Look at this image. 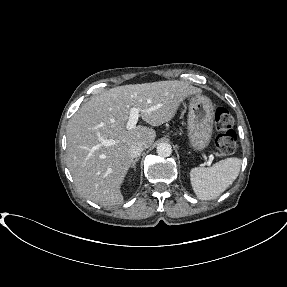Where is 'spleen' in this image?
Returning <instances> with one entry per match:
<instances>
[{
	"mask_svg": "<svg viewBox=\"0 0 287 287\" xmlns=\"http://www.w3.org/2000/svg\"><path fill=\"white\" fill-rule=\"evenodd\" d=\"M241 160L226 158L209 168L195 167L190 171L194 193L200 200H212L220 196L239 175Z\"/></svg>",
	"mask_w": 287,
	"mask_h": 287,
	"instance_id": "3e777b00",
	"label": "spleen"
}]
</instances>
